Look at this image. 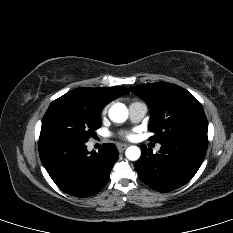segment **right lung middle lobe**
I'll return each mask as SVG.
<instances>
[{
    "mask_svg": "<svg viewBox=\"0 0 233 233\" xmlns=\"http://www.w3.org/2000/svg\"><path fill=\"white\" fill-rule=\"evenodd\" d=\"M100 126V110L91 108L66 93L54 100L47 109L39 139L65 138L87 142Z\"/></svg>",
    "mask_w": 233,
    "mask_h": 233,
    "instance_id": "obj_1",
    "label": "right lung middle lobe"
}]
</instances>
